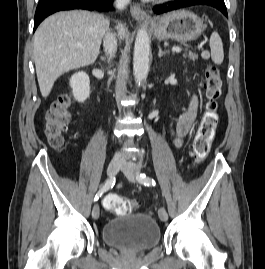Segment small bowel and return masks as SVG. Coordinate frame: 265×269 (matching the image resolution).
I'll list each match as a JSON object with an SVG mask.
<instances>
[{
  "label": "small bowel",
  "instance_id": "c3829d8e",
  "mask_svg": "<svg viewBox=\"0 0 265 269\" xmlns=\"http://www.w3.org/2000/svg\"><path fill=\"white\" fill-rule=\"evenodd\" d=\"M198 100L193 96L190 99L187 110L175 119L170 125V133L175 147L179 148L183 144V138L191 130L197 115Z\"/></svg>",
  "mask_w": 265,
  "mask_h": 269
}]
</instances>
